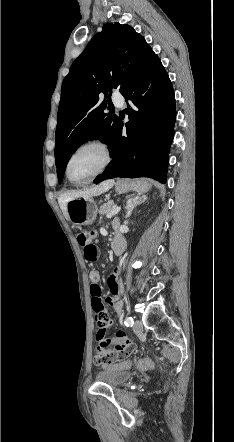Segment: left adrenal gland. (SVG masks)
I'll list each match as a JSON object with an SVG mask.
<instances>
[{
  "instance_id": "1",
  "label": "left adrenal gland",
  "mask_w": 234,
  "mask_h": 442,
  "mask_svg": "<svg viewBox=\"0 0 234 442\" xmlns=\"http://www.w3.org/2000/svg\"><path fill=\"white\" fill-rule=\"evenodd\" d=\"M145 200H147V196L146 195H142V196H135L133 198H130L127 201V206H126V216L125 218H128L131 216L133 209L140 205L141 203L145 202Z\"/></svg>"
}]
</instances>
